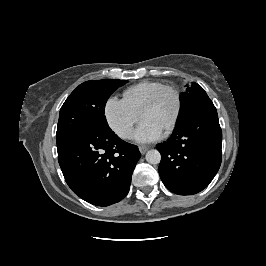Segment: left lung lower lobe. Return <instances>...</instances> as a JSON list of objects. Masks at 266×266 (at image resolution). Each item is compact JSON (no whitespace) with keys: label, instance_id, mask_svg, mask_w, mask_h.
<instances>
[{"label":"left lung lower lobe","instance_id":"left-lung-lower-lobe-1","mask_svg":"<svg viewBox=\"0 0 266 266\" xmlns=\"http://www.w3.org/2000/svg\"><path fill=\"white\" fill-rule=\"evenodd\" d=\"M221 146L217 110L212 101L200 104L156 147L161 153L159 174L166 188L180 195L206 188L221 165Z\"/></svg>","mask_w":266,"mask_h":266}]
</instances>
